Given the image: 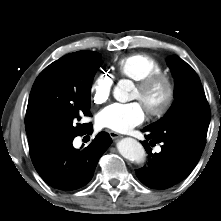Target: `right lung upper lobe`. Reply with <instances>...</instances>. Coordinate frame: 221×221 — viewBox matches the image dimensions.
<instances>
[{
  "label": "right lung upper lobe",
  "instance_id": "obj_1",
  "mask_svg": "<svg viewBox=\"0 0 221 221\" xmlns=\"http://www.w3.org/2000/svg\"><path fill=\"white\" fill-rule=\"evenodd\" d=\"M85 52L86 51H79V52L71 53V54L63 56L62 58H60V60L78 58V57L82 56Z\"/></svg>",
  "mask_w": 221,
  "mask_h": 221
}]
</instances>
